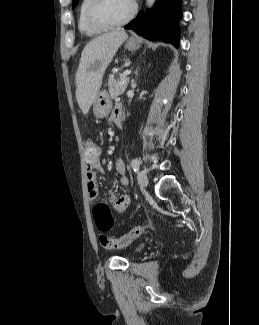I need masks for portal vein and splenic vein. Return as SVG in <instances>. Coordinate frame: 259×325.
Here are the masks:
<instances>
[{
	"instance_id": "obj_1",
	"label": "portal vein and splenic vein",
	"mask_w": 259,
	"mask_h": 325,
	"mask_svg": "<svg viewBox=\"0 0 259 325\" xmlns=\"http://www.w3.org/2000/svg\"><path fill=\"white\" fill-rule=\"evenodd\" d=\"M130 74H131V71H130V70H125V71L123 72V75H124V76L130 75Z\"/></svg>"
}]
</instances>
